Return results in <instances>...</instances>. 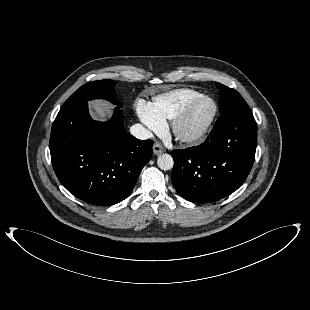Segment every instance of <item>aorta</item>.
I'll return each mask as SVG.
<instances>
[{
  "mask_svg": "<svg viewBox=\"0 0 310 310\" xmlns=\"http://www.w3.org/2000/svg\"><path fill=\"white\" fill-rule=\"evenodd\" d=\"M157 165L161 170L167 171L173 168L174 161L170 154H161L157 159Z\"/></svg>",
  "mask_w": 310,
  "mask_h": 310,
  "instance_id": "obj_1",
  "label": "aorta"
}]
</instances>
